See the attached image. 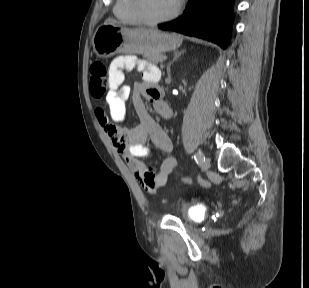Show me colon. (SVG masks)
Wrapping results in <instances>:
<instances>
[{
  "mask_svg": "<svg viewBox=\"0 0 309 288\" xmlns=\"http://www.w3.org/2000/svg\"><path fill=\"white\" fill-rule=\"evenodd\" d=\"M90 76V92L95 98H101L108 86L107 68L103 63L97 62L91 65L89 69ZM191 180L188 177L181 179V184L184 186L190 185ZM238 200L234 203L238 204Z\"/></svg>",
  "mask_w": 309,
  "mask_h": 288,
  "instance_id": "obj_1",
  "label": "colon"
}]
</instances>
